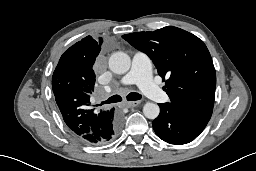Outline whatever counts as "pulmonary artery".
Masks as SVG:
<instances>
[{
  "mask_svg": "<svg viewBox=\"0 0 256 171\" xmlns=\"http://www.w3.org/2000/svg\"><path fill=\"white\" fill-rule=\"evenodd\" d=\"M120 84H136L144 94L155 102L166 100V94L152 79L151 61L147 54L137 52L132 58L130 71L122 77Z\"/></svg>",
  "mask_w": 256,
  "mask_h": 171,
  "instance_id": "obj_1",
  "label": "pulmonary artery"
}]
</instances>
